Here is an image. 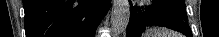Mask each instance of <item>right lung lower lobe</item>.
Returning <instances> with one entry per match:
<instances>
[{"mask_svg":"<svg viewBox=\"0 0 219 37\" xmlns=\"http://www.w3.org/2000/svg\"><path fill=\"white\" fill-rule=\"evenodd\" d=\"M26 37H95L110 0H23Z\"/></svg>","mask_w":219,"mask_h":37,"instance_id":"1","label":"right lung lower lobe"}]
</instances>
